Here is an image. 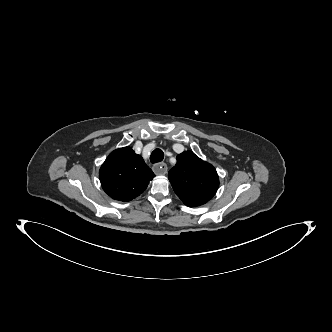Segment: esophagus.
Masks as SVG:
<instances>
[{"instance_id": "obj_1", "label": "esophagus", "mask_w": 332, "mask_h": 332, "mask_svg": "<svg viewBox=\"0 0 332 332\" xmlns=\"http://www.w3.org/2000/svg\"><path fill=\"white\" fill-rule=\"evenodd\" d=\"M153 170L157 175H165L167 173L168 167L165 163H157L153 166Z\"/></svg>"}]
</instances>
